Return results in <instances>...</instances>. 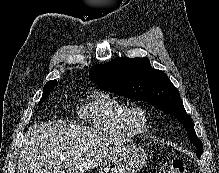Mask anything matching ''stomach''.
<instances>
[{
  "mask_svg": "<svg viewBox=\"0 0 219 173\" xmlns=\"http://www.w3.org/2000/svg\"><path fill=\"white\" fill-rule=\"evenodd\" d=\"M146 159L142 146L124 143L100 163L98 173H138Z\"/></svg>",
  "mask_w": 219,
  "mask_h": 173,
  "instance_id": "0dacf381",
  "label": "stomach"
}]
</instances>
